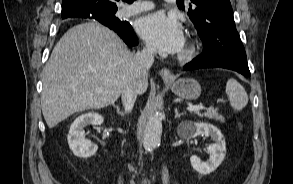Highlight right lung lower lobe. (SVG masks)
<instances>
[{
  "label": "right lung lower lobe",
  "mask_w": 293,
  "mask_h": 184,
  "mask_svg": "<svg viewBox=\"0 0 293 184\" xmlns=\"http://www.w3.org/2000/svg\"><path fill=\"white\" fill-rule=\"evenodd\" d=\"M78 17L95 19L99 21L103 25L114 30L130 47L138 44L133 28L127 21H122L116 17L109 16L108 13L101 10H94Z\"/></svg>",
  "instance_id": "right-lung-lower-lobe-1"
}]
</instances>
